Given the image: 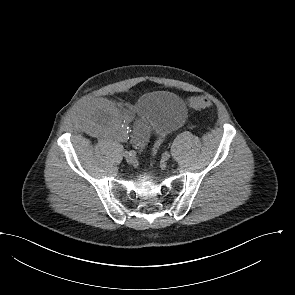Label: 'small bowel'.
<instances>
[{"instance_id":"obj_1","label":"small bowel","mask_w":295,"mask_h":295,"mask_svg":"<svg viewBox=\"0 0 295 295\" xmlns=\"http://www.w3.org/2000/svg\"><path fill=\"white\" fill-rule=\"evenodd\" d=\"M83 120L96 131L104 135H112L125 139L124 123L132 122L131 142L137 149H142L147 143L151 128L147 120L141 116H131L119 111L106 99H95L87 103Z\"/></svg>"}]
</instances>
